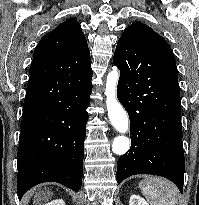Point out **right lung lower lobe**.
Here are the masks:
<instances>
[{
  "mask_svg": "<svg viewBox=\"0 0 199 205\" xmlns=\"http://www.w3.org/2000/svg\"><path fill=\"white\" fill-rule=\"evenodd\" d=\"M91 79L92 75L70 80L63 94L23 111L17 153L19 199L43 182L81 189ZM49 88L41 82L28 83L26 97Z\"/></svg>",
  "mask_w": 199,
  "mask_h": 205,
  "instance_id": "right-lung-lower-lobe-1",
  "label": "right lung lower lobe"
}]
</instances>
